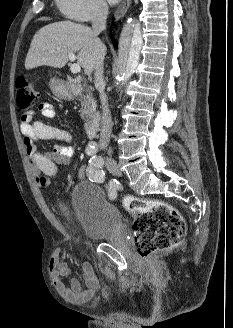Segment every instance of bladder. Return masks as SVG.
Wrapping results in <instances>:
<instances>
[{
    "label": "bladder",
    "instance_id": "obj_1",
    "mask_svg": "<svg viewBox=\"0 0 233 328\" xmlns=\"http://www.w3.org/2000/svg\"><path fill=\"white\" fill-rule=\"evenodd\" d=\"M70 209L72 219L89 239H107L121 228L119 210L104 191L91 182L82 181L73 187Z\"/></svg>",
    "mask_w": 233,
    "mask_h": 328
}]
</instances>
